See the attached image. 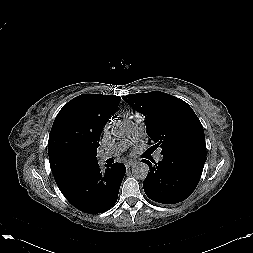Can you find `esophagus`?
Segmentation results:
<instances>
[{
    "mask_svg": "<svg viewBox=\"0 0 253 253\" xmlns=\"http://www.w3.org/2000/svg\"><path fill=\"white\" fill-rule=\"evenodd\" d=\"M134 163L135 162L133 160H128V161L125 162V166H126V168H130L131 166L134 165Z\"/></svg>",
    "mask_w": 253,
    "mask_h": 253,
    "instance_id": "esophagus-1",
    "label": "esophagus"
}]
</instances>
